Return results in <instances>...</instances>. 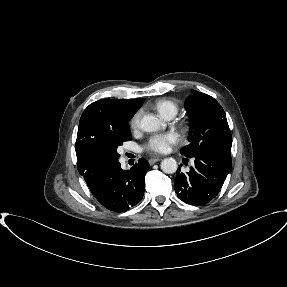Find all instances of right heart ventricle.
<instances>
[{"mask_svg":"<svg viewBox=\"0 0 287 287\" xmlns=\"http://www.w3.org/2000/svg\"><path fill=\"white\" fill-rule=\"evenodd\" d=\"M153 106L164 118L174 116L178 112L177 103L171 99H159Z\"/></svg>","mask_w":287,"mask_h":287,"instance_id":"obj_1","label":"right heart ventricle"}]
</instances>
